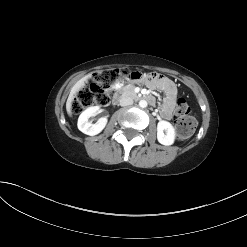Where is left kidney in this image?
<instances>
[{"instance_id": "left-kidney-1", "label": "left kidney", "mask_w": 247, "mask_h": 247, "mask_svg": "<svg viewBox=\"0 0 247 247\" xmlns=\"http://www.w3.org/2000/svg\"><path fill=\"white\" fill-rule=\"evenodd\" d=\"M157 139L159 143L166 145V146L172 145L174 143L175 129L171 123L167 121H163V120L158 122Z\"/></svg>"}]
</instances>
